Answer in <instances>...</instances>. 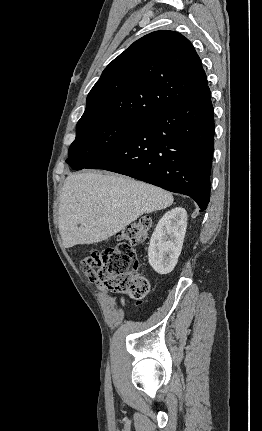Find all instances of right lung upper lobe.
I'll list each match as a JSON object with an SVG mask.
<instances>
[{"label":"right lung upper lobe","mask_w":262,"mask_h":431,"mask_svg":"<svg viewBox=\"0 0 262 431\" xmlns=\"http://www.w3.org/2000/svg\"><path fill=\"white\" fill-rule=\"evenodd\" d=\"M207 87L190 41L177 32L155 31L135 41L105 68L77 124L143 120Z\"/></svg>","instance_id":"1"}]
</instances>
